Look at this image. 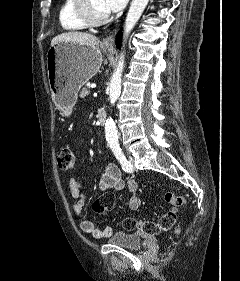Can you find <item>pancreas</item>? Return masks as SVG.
Instances as JSON below:
<instances>
[{"label": "pancreas", "mask_w": 240, "mask_h": 281, "mask_svg": "<svg viewBox=\"0 0 240 281\" xmlns=\"http://www.w3.org/2000/svg\"><path fill=\"white\" fill-rule=\"evenodd\" d=\"M90 94L89 87H84L80 92V97L84 98Z\"/></svg>", "instance_id": "pancreas-1"}]
</instances>
